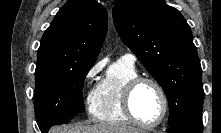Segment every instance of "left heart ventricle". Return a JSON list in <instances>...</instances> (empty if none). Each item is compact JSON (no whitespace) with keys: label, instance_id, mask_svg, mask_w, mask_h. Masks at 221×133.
<instances>
[{"label":"left heart ventricle","instance_id":"1","mask_svg":"<svg viewBox=\"0 0 221 133\" xmlns=\"http://www.w3.org/2000/svg\"><path fill=\"white\" fill-rule=\"evenodd\" d=\"M132 107L139 120L146 123L156 121L162 112L159 92L149 83L141 84L134 92Z\"/></svg>","mask_w":221,"mask_h":133}]
</instances>
